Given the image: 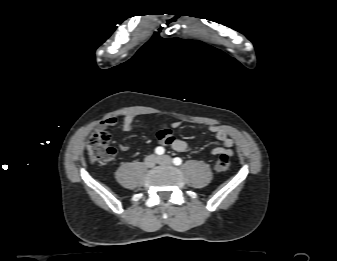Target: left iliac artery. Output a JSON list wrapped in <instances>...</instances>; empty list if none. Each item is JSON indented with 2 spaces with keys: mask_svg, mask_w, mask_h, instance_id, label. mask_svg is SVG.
Masks as SVG:
<instances>
[{
  "mask_svg": "<svg viewBox=\"0 0 337 261\" xmlns=\"http://www.w3.org/2000/svg\"><path fill=\"white\" fill-rule=\"evenodd\" d=\"M173 163H174L175 165L179 166V165L182 164V159L179 158V157H175V158L173 159Z\"/></svg>",
  "mask_w": 337,
  "mask_h": 261,
  "instance_id": "1",
  "label": "left iliac artery"
}]
</instances>
